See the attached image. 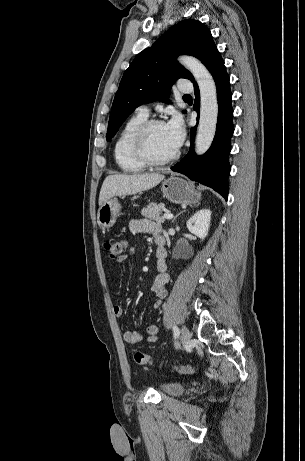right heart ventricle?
<instances>
[{
  "instance_id": "right-heart-ventricle-1",
  "label": "right heart ventricle",
  "mask_w": 305,
  "mask_h": 461,
  "mask_svg": "<svg viewBox=\"0 0 305 461\" xmlns=\"http://www.w3.org/2000/svg\"><path fill=\"white\" fill-rule=\"evenodd\" d=\"M147 120V115L136 113L130 117L122 127L114 144V158L118 167L125 172H139L145 168L132 154V138L142 123Z\"/></svg>"
}]
</instances>
